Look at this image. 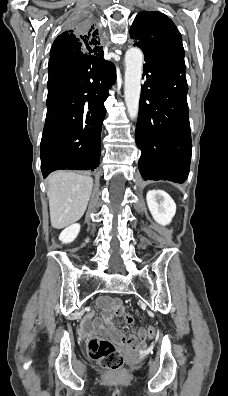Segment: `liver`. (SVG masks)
Masks as SVG:
<instances>
[{"label":"liver","instance_id":"liver-1","mask_svg":"<svg viewBox=\"0 0 228 396\" xmlns=\"http://www.w3.org/2000/svg\"><path fill=\"white\" fill-rule=\"evenodd\" d=\"M93 179L70 171H58L48 178L50 221L56 229L78 221L86 211Z\"/></svg>","mask_w":228,"mask_h":396}]
</instances>
